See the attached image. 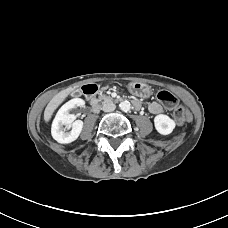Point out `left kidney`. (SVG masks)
<instances>
[{
	"label": "left kidney",
	"instance_id": "obj_1",
	"mask_svg": "<svg viewBox=\"0 0 228 228\" xmlns=\"http://www.w3.org/2000/svg\"><path fill=\"white\" fill-rule=\"evenodd\" d=\"M154 125L156 130L162 135H168L172 133L176 124L169 116L160 114L154 118Z\"/></svg>",
	"mask_w": 228,
	"mask_h": 228
}]
</instances>
